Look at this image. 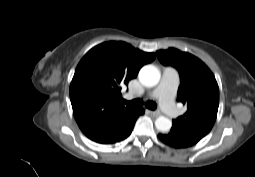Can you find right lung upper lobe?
<instances>
[{
    "label": "right lung upper lobe",
    "mask_w": 255,
    "mask_h": 177,
    "mask_svg": "<svg viewBox=\"0 0 255 177\" xmlns=\"http://www.w3.org/2000/svg\"><path fill=\"white\" fill-rule=\"evenodd\" d=\"M155 59L125 42L110 41L88 51L79 62L70 84L74 117L82 132L129 109L120 92L136 78L140 68Z\"/></svg>",
    "instance_id": "cb5924a9"
}]
</instances>
